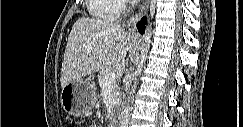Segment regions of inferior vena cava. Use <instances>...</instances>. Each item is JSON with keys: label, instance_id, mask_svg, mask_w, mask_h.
Here are the masks:
<instances>
[{"label": "inferior vena cava", "instance_id": "obj_1", "mask_svg": "<svg viewBox=\"0 0 243 127\" xmlns=\"http://www.w3.org/2000/svg\"><path fill=\"white\" fill-rule=\"evenodd\" d=\"M129 86H130V84L127 82L126 83V91L128 90ZM129 111H130L129 105L124 106L123 115H122V121H121V127H127L128 126Z\"/></svg>", "mask_w": 243, "mask_h": 127}]
</instances>
